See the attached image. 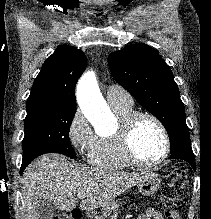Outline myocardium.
<instances>
[{
    "label": "myocardium",
    "instance_id": "myocardium-1",
    "mask_svg": "<svg viewBox=\"0 0 211 219\" xmlns=\"http://www.w3.org/2000/svg\"><path fill=\"white\" fill-rule=\"evenodd\" d=\"M141 118L151 119L160 129L163 139H164V151L162 156L153 162H145L141 160L135 153L133 149V132L135 125ZM118 138L121 152L124 158L132 165L142 167V168H154L163 164L169 157L171 151V141L169 133L164 125V123L155 114L148 111H135L127 116L123 122L120 124L118 130Z\"/></svg>",
    "mask_w": 211,
    "mask_h": 219
}]
</instances>
